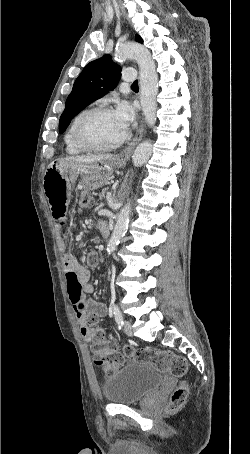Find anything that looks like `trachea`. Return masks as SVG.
<instances>
[{"label":"trachea","instance_id":"trachea-1","mask_svg":"<svg viewBox=\"0 0 250 454\" xmlns=\"http://www.w3.org/2000/svg\"><path fill=\"white\" fill-rule=\"evenodd\" d=\"M134 86L135 87L138 86V81L137 80L132 84V87H134Z\"/></svg>","mask_w":250,"mask_h":454}]
</instances>
